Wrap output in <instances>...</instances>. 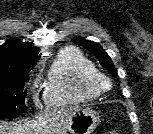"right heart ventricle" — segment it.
Segmentation results:
<instances>
[{
    "mask_svg": "<svg viewBox=\"0 0 153 134\" xmlns=\"http://www.w3.org/2000/svg\"><path fill=\"white\" fill-rule=\"evenodd\" d=\"M95 64L75 48L63 49L52 63L44 84V99L49 106L82 104L100 94L89 85Z\"/></svg>",
    "mask_w": 153,
    "mask_h": 134,
    "instance_id": "1",
    "label": "right heart ventricle"
}]
</instances>
